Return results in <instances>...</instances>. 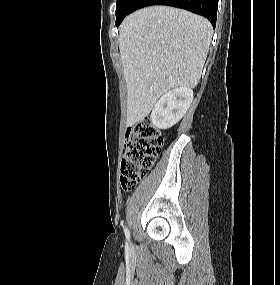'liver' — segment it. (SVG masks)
<instances>
[{
	"label": "liver",
	"instance_id": "1",
	"mask_svg": "<svg viewBox=\"0 0 280 285\" xmlns=\"http://www.w3.org/2000/svg\"><path fill=\"white\" fill-rule=\"evenodd\" d=\"M119 31L130 126L170 89L199 83L213 31L204 17L166 6L130 14Z\"/></svg>",
	"mask_w": 280,
	"mask_h": 285
}]
</instances>
